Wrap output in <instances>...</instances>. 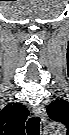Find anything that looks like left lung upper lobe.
I'll use <instances>...</instances> for the list:
<instances>
[{
    "label": "left lung upper lobe",
    "instance_id": "1",
    "mask_svg": "<svg viewBox=\"0 0 69 135\" xmlns=\"http://www.w3.org/2000/svg\"><path fill=\"white\" fill-rule=\"evenodd\" d=\"M47 112L52 120L67 124L69 120V103L65 100H56L49 105Z\"/></svg>",
    "mask_w": 69,
    "mask_h": 135
}]
</instances>
